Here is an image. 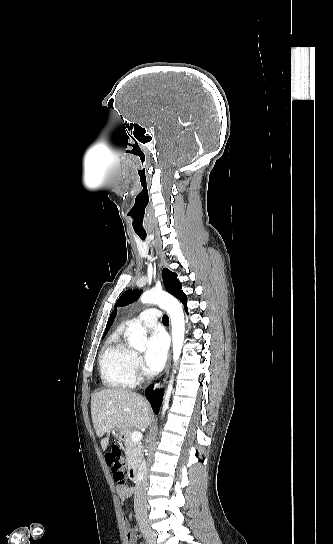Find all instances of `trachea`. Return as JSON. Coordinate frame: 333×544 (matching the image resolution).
<instances>
[{
	"mask_svg": "<svg viewBox=\"0 0 333 544\" xmlns=\"http://www.w3.org/2000/svg\"><path fill=\"white\" fill-rule=\"evenodd\" d=\"M137 234L142 241L146 239V234H142V233H137ZM162 321L164 324H169V317L167 315H163Z\"/></svg>",
	"mask_w": 333,
	"mask_h": 544,
	"instance_id": "3493384b",
	"label": "trachea"
}]
</instances>
